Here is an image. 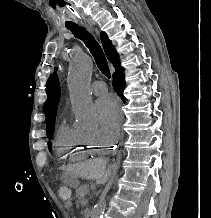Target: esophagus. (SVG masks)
Returning <instances> with one entry per match:
<instances>
[{
  "mask_svg": "<svg viewBox=\"0 0 211 218\" xmlns=\"http://www.w3.org/2000/svg\"><path fill=\"white\" fill-rule=\"evenodd\" d=\"M84 26H86V28H88V30L92 31L93 30V25L90 23H83Z\"/></svg>",
  "mask_w": 211,
  "mask_h": 218,
  "instance_id": "1",
  "label": "esophagus"
}]
</instances>
